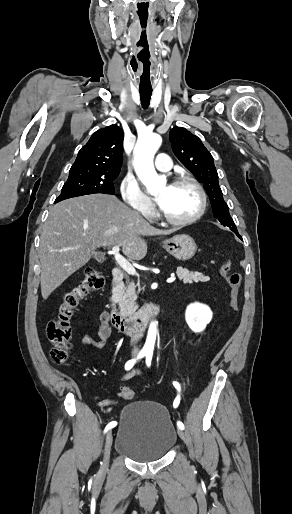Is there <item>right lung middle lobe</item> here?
I'll return each mask as SVG.
<instances>
[{"label": "right lung middle lobe", "instance_id": "dd1d6c3e", "mask_svg": "<svg viewBox=\"0 0 292 514\" xmlns=\"http://www.w3.org/2000/svg\"><path fill=\"white\" fill-rule=\"evenodd\" d=\"M117 176L118 175L85 173L69 174L67 181L62 187L61 194L56 198L55 203L68 198L94 193L114 194L115 189L113 181Z\"/></svg>", "mask_w": 292, "mask_h": 514}]
</instances>
